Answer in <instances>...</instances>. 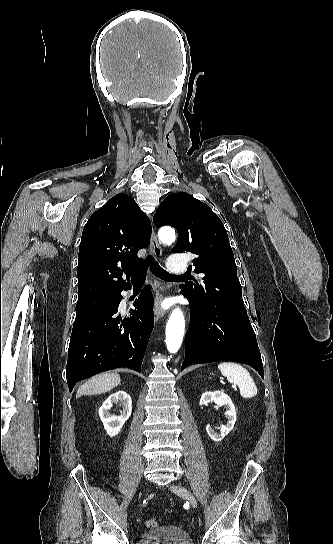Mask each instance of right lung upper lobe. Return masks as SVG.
Returning a JSON list of instances; mask_svg holds the SVG:
<instances>
[{
  "instance_id": "1",
  "label": "right lung upper lobe",
  "mask_w": 333,
  "mask_h": 544,
  "mask_svg": "<svg viewBox=\"0 0 333 544\" xmlns=\"http://www.w3.org/2000/svg\"><path fill=\"white\" fill-rule=\"evenodd\" d=\"M150 235V220L126 194L115 195L93 213L79 247L78 301L117 294L129 286L140 263L137 252L148 246Z\"/></svg>"
}]
</instances>
